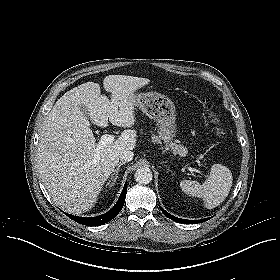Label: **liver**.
I'll return each mask as SVG.
<instances>
[{
  "label": "liver",
  "mask_w": 280,
  "mask_h": 280,
  "mask_svg": "<svg viewBox=\"0 0 280 280\" xmlns=\"http://www.w3.org/2000/svg\"><path fill=\"white\" fill-rule=\"evenodd\" d=\"M147 78L109 75L101 94L100 85L87 82L61 96L45 118L39 137L37 166L42 183L53 202L68 213L90 210L104 182L118 165L119 154L136 146V131L127 129L111 144L97 148L86 108L93 124L131 128L135 123L134 91L147 85Z\"/></svg>",
  "instance_id": "obj_1"
}]
</instances>
